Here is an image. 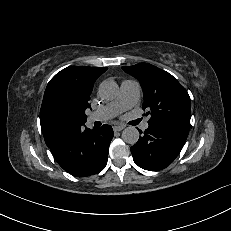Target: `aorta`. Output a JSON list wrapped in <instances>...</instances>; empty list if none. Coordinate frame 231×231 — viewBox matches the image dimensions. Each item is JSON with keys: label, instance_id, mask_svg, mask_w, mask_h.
I'll list each match as a JSON object with an SVG mask.
<instances>
[{"label": "aorta", "instance_id": "aorta-1", "mask_svg": "<svg viewBox=\"0 0 231 231\" xmlns=\"http://www.w3.org/2000/svg\"><path fill=\"white\" fill-rule=\"evenodd\" d=\"M119 87L112 80H105L99 85L98 94L104 100H112L118 94ZM124 142L134 145L139 139V131L134 126L125 128L122 132Z\"/></svg>", "mask_w": 231, "mask_h": 231}]
</instances>
